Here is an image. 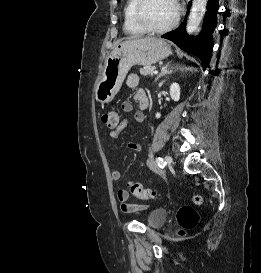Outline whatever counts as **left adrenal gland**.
I'll return each mask as SVG.
<instances>
[{
	"mask_svg": "<svg viewBox=\"0 0 261 273\" xmlns=\"http://www.w3.org/2000/svg\"><path fill=\"white\" fill-rule=\"evenodd\" d=\"M169 64H166L164 67H162L161 72L159 73V75L155 78V82L162 76L166 75V74H171L173 71L168 69Z\"/></svg>",
	"mask_w": 261,
	"mask_h": 273,
	"instance_id": "1",
	"label": "left adrenal gland"
}]
</instances>
